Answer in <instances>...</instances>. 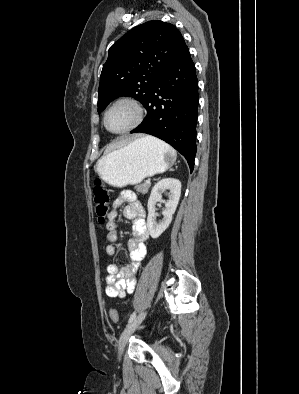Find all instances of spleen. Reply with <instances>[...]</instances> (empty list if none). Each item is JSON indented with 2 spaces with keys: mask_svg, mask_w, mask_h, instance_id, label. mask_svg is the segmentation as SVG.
I'll return each mask as SVG.
<instances>
[{
  "mask_svg": "<svg viewBox=\"0 0 299 394\" xmlns=\"http://www.w3.org/2000/svg\"><path fill=\"white\" fill-rule=\"evenodd\" d=\"M154 140H155L156 143L162 144L167 150L171 151L172 153H175V151L169 145L165 144L164 142H162V141H160L158 139L154 138Z\"/></svg>",
  "mask_w": 299,
  "mask_h": 394,
  "instance_id": "obj_1",
  "label": "spleen"
}]
</instances>
